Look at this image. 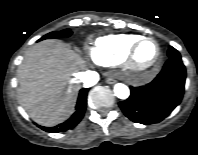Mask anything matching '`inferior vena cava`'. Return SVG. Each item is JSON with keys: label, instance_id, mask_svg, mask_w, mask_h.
<instances>
[{"label": "inferior vena cava", "instance_id": "obj_1", "mask_svg": "<svg viewBox=\"0 0 198 155\" xmlns=\"http://www.w3.org/2000/svg\"><path fill=\"white\" fill-rule=\"evenodd\" d=\"M81 81L84 83L86 86H93L96 84L99 80V74L95 71H86L81 74L80 77Z\"/></svg>", "mask_w": 198, "mask_h": 155}]
</instances>
